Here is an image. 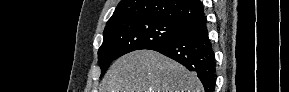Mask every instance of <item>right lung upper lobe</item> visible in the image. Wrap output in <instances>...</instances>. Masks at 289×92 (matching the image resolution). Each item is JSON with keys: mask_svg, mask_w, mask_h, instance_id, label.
Instances as JSON below:
<instances>
[{"mask_svg": "<svg viewBox=\"0 0 289 92\" xmlns=\"http://www.w3.org/2000/svg\"><path fill=\"white\" fill-rule=\"evenodd\" d=\"M204 14L200 0H121L106 26L130 18H159L187 25Z\"/></svg>", "mask_w": 289, "mask_h": 92, "instance_id": "right-lung-upper-lobe-1", "label": "right lung upper lobe"}]
</instances>
